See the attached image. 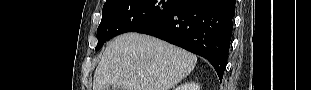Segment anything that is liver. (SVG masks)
Instances as JSON below:
<instances>
[{"instance_id":"obj_1","label":"liver","mask_w":311,"mask_h":90,"mask_svg":"<svg viewBox=\"0 0 311 90\" xmlns=\"http://www.w3.org/2000/svg\"><path fill=\"white\" fill-rule=\"evenodd\" d=\"M197 57L158 38L138 33L116 37L97 66L93 90H170L195 68Z\"/></svg>"}]
</instances>
